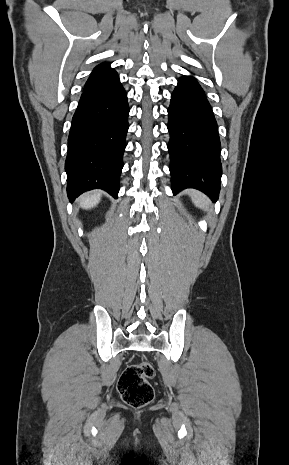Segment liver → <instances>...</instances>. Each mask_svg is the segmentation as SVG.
<instances>
[{
    "instance_id": "liver-1",
    "label": "liver",
    "mask_w": 289,
    "mask_h": 465,
    "mask_svg": "<svg viewBox=\"0 0 289 465\" xmlns=\"http://www.w3.org/2000/svg\"><path fill=\"white\" fill-rule=\"evenodd\" d=\"M101 194L99 192H90L81 196L79 203L84 209H90L96 206L100 201Z\"/></svg>"
}]
</instances>
